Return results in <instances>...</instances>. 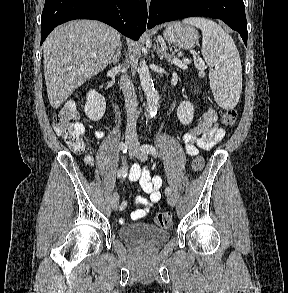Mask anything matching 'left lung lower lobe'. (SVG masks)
<instances>
[{
	"label": "left lung lower lobe",
	"instance_id": "left-lung-lower-lobe-1",
	"mask_svg": "<svg viewBox=\"0 0 288 293\" xmlns=\"http://www.w3.org/2000/svg\"><path fill=\"white\" fill-rule=\"evenodd\" d=\"M218 18L240 33L247 46V20L243 0H151L147 27L185 17Z\"/></svg>",
	"mask_w": 288,
	"mask_h": 293
}]
</instances>
